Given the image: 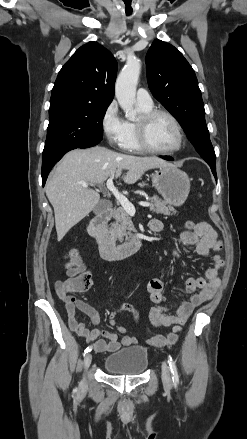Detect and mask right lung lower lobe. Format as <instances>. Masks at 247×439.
Segmentation results:
<instances>
[{
  "mask_svg": "<svg viewBox=\"0 0 247 439\" xmlns=\"http://www.w3.org/2000/svg\"><path fill=\"white\" fill-rule=\"evenodd\" d=\"M84 148H89V147H84ZM70 150H72V149H70ZM70 150L57 153L55 155L47 157L46 159H44L42 161V182H43V186H44V184L46 182V179H47L48 174L51 171L52 167L63 157V155L65 153H67Z\"/></svg>",
  "mask_w": 247,
  "mask_h": 439,
  "instance_id": "obj_1",
  "label": "right lung lower lobe"
}]
</instances>
